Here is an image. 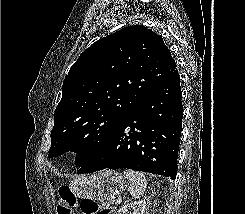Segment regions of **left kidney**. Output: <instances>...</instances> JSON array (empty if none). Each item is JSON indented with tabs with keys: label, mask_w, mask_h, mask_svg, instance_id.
<instances>
[{
	"label": "left kidney",
	"mask_w": 245,
	"mask_h": 214,
	"mask_svg": "<svg viewBox=\"0 0 245 214\" xmlns=\"http://www.w3.org/2000/svg\"><path fill=\"white\" fill-rule=\"evenodd\" d=\"M146 210V201H134L131 203H127L122 208L118 210V214H147Z\"/></svg>",
	"instance_id": "left-kidney-1"
}]
</instances>
